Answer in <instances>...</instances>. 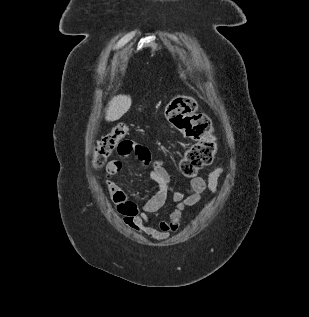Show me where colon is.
Wrapping results in <instances>:
<instances>
[{
    "label": "colon",
    "instance_id": "1",
    "mask_svg": "<svg viewBox=\"0 0 309 317\" xmlns=\"http://www.w3.org/2000/svg\"><path fill=\"white\" fill-rule=\"evenodd\" d=\"M165 115L177 130L196 140L180 161L181 173L186 177H195L200 169L211 164L216 153L212 124L206 115L196 113L195 100L185 95L172 99L166 107ZM128 131V126L120 123L96 144L92 159L95 168L102 167L116 148L118 152L127 151L126 142L129 140L124 138ZM132 145L134 153L141 151V146L135 143Z\"/></svg>",
    "mask_w": 309,
    "mask_h": 317
}]
</instances>
